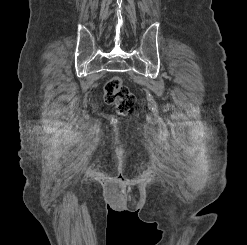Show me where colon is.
<instances>
[{"label": "colon", "mask_w": 247, "mask_h": 245, "mask_svg": "<svg viewBox=\"0 0 247 245\" xmlns=\"http://www.w3.org/2000/svg\"><path fill=\"white\" fill-rule=\"evenodd\" d=\"M104 98L106 103L114 106L120 114L128 113L135 102L133 94L123 85L119 76H113L107 81Z\"/></svg>", "instance_id": "1"}]
</instances>
